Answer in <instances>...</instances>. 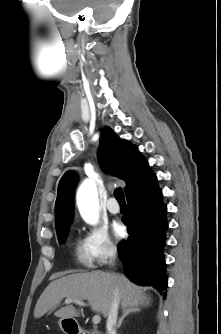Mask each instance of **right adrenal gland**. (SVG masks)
<instances>
[{
  "instance_id": "2a0ac1e0",
  "label": "right adrenal gland",
  "mask_w": 221,
  "mask_h": 334,
  "mask_svg": "<svg viewBox=\"0 0 221 334\" xmlns=\"http://www.w3.org/2000/svg\"><path fill=\"white\" fill-rule=\"evenodd\" d=\"M136 312H140V308L138 306L123 309V315L118 321L117 328H119L121 326L125 317H127L131 313H136Z\"/></svg>"
}]
</instances>
